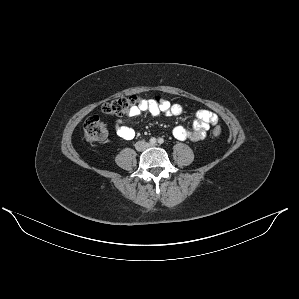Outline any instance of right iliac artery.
Here are the masks:
<instances>
[{"instance_id": "right-iliac-artery-1", "label": "right iliac artery", "mask_w": 299, "mask_h": 299, "mask_svg": "<svg viewBox=\"0 0 299 299\" xmlns=\"http://www.w3.org/2000/svg\"><path fill=\"white\" fill-rule=\"evenodd\" d=\"M156 138H154V137H152L150 140H149V143L151 144V145H154L155 143H156Z\"/></svg>"}]
</instances>
